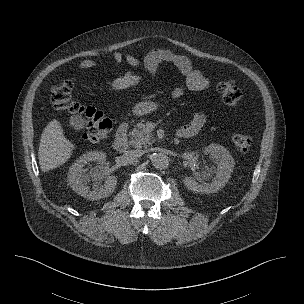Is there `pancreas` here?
<instances>
[{
    "mask_svg": "<svg viewBox=\"0 0 304 304\" xmlns=\"http://www.w3.org/2000/svg\"><path fill=\"white\" fill-rule=\"evenodd\" d=\"M129 144L135 148L147 147V144L153 142L151 133L146 129V125L142 122L136 124L135 128L128 134Z\"/></svg>",
    "mask_w": 304,
    "mask_h": 304,
    "instance_id": "1",
    "label": "pancreas"
}]
</instances>
